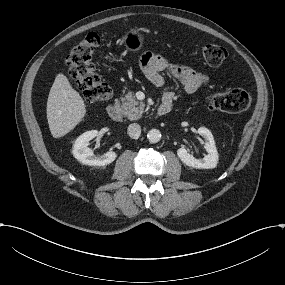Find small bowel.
<instances>
[{
  "label": "small bowel",
  "mask_w": 285,
  "mask_h": 285,
  "mask_svg": "<svg viewBox=\"0 0 285 285\" xmlns=\"http://www.w3.org/2000/svg\"><path fill=\"white\" fill-rule=\"evenodd\" d=\"M140 68L145 77L156 87L164 84L162 72H169L182 85L188 93H193L199 88L207 85L210 78L195 70L192 67L181 63L172 62L166 59L162 54L156 52H146L140 58ZM174 98L172 91H166L163 98Z\"/></svg>",
  "instance_id": "c3829d8e"
}]
</instances>
